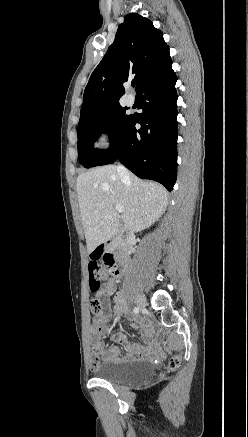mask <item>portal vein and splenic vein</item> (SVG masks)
Wrapping results in <instances>:
<instances>
[{"mask_svg":"<svg viewBox=\"0 0 248 437\" xmlns=\"http://www.w3.org/2000/svg\"><path fill=\"white\" fill-rule=\"evenodd\" d=\"M115 209H116L119 213H123V212H124V209H123V207H122L121 205H116V206H115Z\"/></svg>","mask_w":248,"mask_h":437,"instance_id":"1","label":"portal vein and splenic vein"}]
</instances>
